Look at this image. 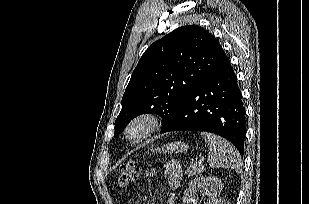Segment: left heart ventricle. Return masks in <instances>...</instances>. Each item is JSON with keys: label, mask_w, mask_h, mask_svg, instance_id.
Here are the masks:
<instances>
[{"label": "left heart ventricle", "mask_w": 309, "mask_h": 204, "mask_svg": "<svg viewBox=\"0 0 309 204\" xmlns=\"http://www.w3.org/2000/svg\"><path fill=\"white\" fill-rule=\"evenodd\" d=\"M141 132H142V128H141V127H137V128H135V129L132 131L131 135H132L133 137H137L138 135H140Z\"/></svg>", "instance_id": "obj_1"}]
</instances>
